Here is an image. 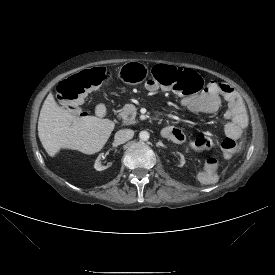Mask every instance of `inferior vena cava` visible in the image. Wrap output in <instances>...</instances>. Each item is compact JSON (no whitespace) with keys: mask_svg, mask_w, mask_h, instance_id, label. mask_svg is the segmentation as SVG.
Segmentation results:
<instances>
[{"mask_svg":"<svg viewBox=\"0 0 275 275\" xmlns=\"http://www.w3.org/2000/svg\"><path fill=\"white\" fill-rule=\"evenodd\" d=\"M134 136V131L131 129H123L116 132L114 139L118 144H123L128 140L132 139Z\"/></svg>","mask_w":275,"mask_h":275,"instance_id":"602c4592","label":"inferior vena cava"}]
</instances>
